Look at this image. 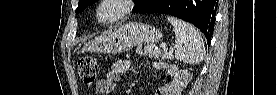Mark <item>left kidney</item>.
<instances>
[{
    "label": "left kidney",
    "instance_id": "1",
    "mask_svg": "<svg viewBox=\"0 0 277 95\" xmlns=\"http://www.w3.org/2000/svg\"><path fill=\"white\" fill-rule=\"evenodd\" d=\"M172 72L174 73V79L168 86L167 93H175L180 91L184 86V81L190 76L187 71H178L176 67H172Z\"/></svg>",
    "mask_w": 277,
    "mask_h": 95
}]
</instances>
